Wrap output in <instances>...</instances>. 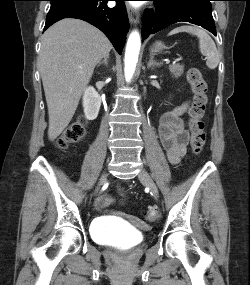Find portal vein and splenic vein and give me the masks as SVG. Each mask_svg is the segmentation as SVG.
<instances>
[{"mask_svg": "<svg viewBox=\"0 0 250 285\" xmlns=\"http://www.w3.org/2000/svg\"><path fill=\"white\" fill-rule=\"evenodd\" d=\"M179 60H180V59H176V60L174 61V63L177 62V61H179Z\"/></svg>", "mask_w": 250, "mask_h": 285, "instance_id": "18ae733b", "label": "portal vein and splenic vein"}]
</instances>
